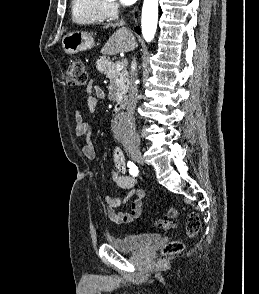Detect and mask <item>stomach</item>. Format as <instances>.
<instances>
[{
  "label": "stomach",
  "mask_w": 259,
  "mask_h": 294,
  "mask_svg": "<svg viewBox=\"0 0 259 294\" xmlns=\"http://www.w3.org/2000/svg\"><path fill=\"white\" fill-rule=\"evenodd\" d=\"M93 46L94 39L89 33L86 32H70L62 39V48L65 53L69 55L89 50Z\"/></svg>",
  "instance_id": "1"
}]
</instances>
